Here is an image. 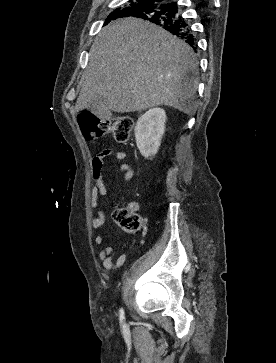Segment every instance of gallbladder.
I'll return each instance as SVG.
<instances>
[{"mask_svg":"<svg viewBox=\"0 0 276 363\" xmlns=\"http://www.w3.org/2000/svg\"><path fill=\"white\" fill-rule=\"evenodd\" d=\"M91 113L96 115L101 120L110 119L112 116V112L105 105V101L101 96H98L93 104L89 107Z\"/></svg>","mask_w":276,"mask_h":363,"instance_id":"gallbladder-1","label":"gallbladder"}]
</instances>
